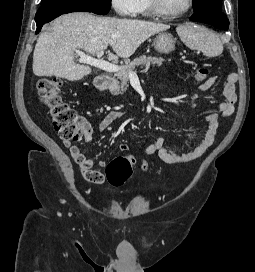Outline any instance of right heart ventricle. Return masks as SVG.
I'll return each mask as SVG.
<instances>
[{"label":"right heart ventricle","instance_id":"1","mask_svg":"<svg viewBox=\"0 0 255 272\" xmlns=\"http://www.w3.org/2000/svg\"><path fill=\"white\" fill-rule=\"evenodd\" d=\"M137 13L147 17L154 15L150 9L149 0H139Z\"/></svg>","mask_w":255,"mask_h":272}]
</instances>
